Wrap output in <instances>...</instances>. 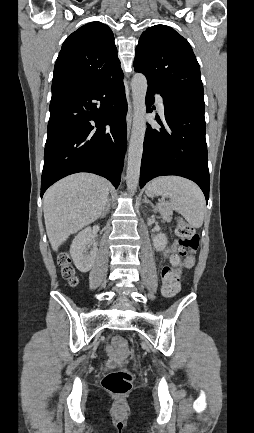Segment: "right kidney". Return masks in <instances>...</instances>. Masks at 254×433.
Here are the masks:
<instances>
[{"instance_id": "obj_1", "label": "right kidney", "mask_w": 254, "mask_h": 433, "mask_svg": "<svg viewBox=\"0 0 254 433\" xmlns=\"http://www.w3.org/2000/svg\"><path fill=\"white\" fill-rule=\"evenodd\" d=\"M93 238L91 227H87L78 233L72 242L70 254L80 272H88L95 262L98 248L93 244Z\"/></svg>"}]
</instances>
